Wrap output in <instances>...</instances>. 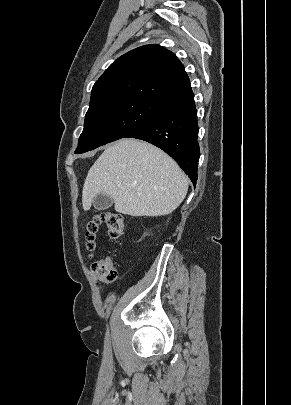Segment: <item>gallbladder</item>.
<instances>
[{
    "mask_svg": "<svg viewBox=\"0 0 291 405\" xmlns=\"http://www.w3.org/2000/svg\"><path fill=\"white\" fill-rule=\"evenodd\" d=\"M113 199L105 194H98L93 199V206L97 210H105L112 206Z\"/></svg>",
    "mask_w": 291,
    "mask_h": 405,
    "instance_id": "1",
    "label": "gallbladder"
}]
</instances>
